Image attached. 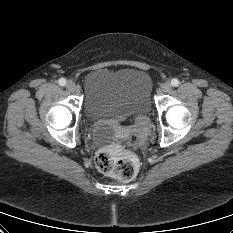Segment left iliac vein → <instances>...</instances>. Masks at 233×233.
Returning <instances> with one entry per match:
<instances>
[{
    "mask_svg": "<svg viewBox=\"0 0 233 233\" xmlns=\"http://www.w3.org/2000/svg\"><path fill=\"white\" fill-rule=\"evenodd\" d=\"M161 89L163 92L167 93V92L171 91L172 85L170 84V82H165V83H163Z\"/></svg>",
    "mask_w": 233,
    "mask_h": 233,
    "instance_id": "1",
    "label": "left iliac vein"
}]
</instances>
